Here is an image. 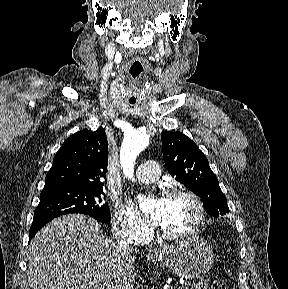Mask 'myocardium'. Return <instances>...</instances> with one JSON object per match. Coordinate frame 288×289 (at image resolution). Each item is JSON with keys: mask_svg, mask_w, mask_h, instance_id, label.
<instances>
[{"mask_svg": "<svg viewBox=\"0 0 288 289\" xmlns=\"http://www.w3.org/2000/svg\"><path fill=\"white\" fill-rule=\"evenodd\" d=\"M181 196L188 197L192 200V202L194 203L196 207L197 215H196V219L193 225L189 229L182 231V232H170L166 230L165 228H163L162 226H159L158 227L159 233L163 235L164 237L171 239V240H183V239H187V238H191L195 236L198 233V231L201 229L204 223V219H205V208H204L203 201L201 200L199 195H197L195 192L189 189L169 190L168 192L164 194L163 199H171V198L181 197Z\"/></svg>", "mask_w": 288, "mask_h": 289, "instance_id": "f54148a6", "label": "myocardium"}]
</instances>
